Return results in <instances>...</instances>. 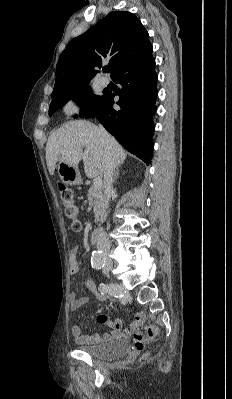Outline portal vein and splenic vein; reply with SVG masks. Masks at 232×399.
<instances>
[{
    "instance_id": "obj_1",
    "label": "portal vein and splenic vein",
    "mask_w": 232,
    "mask_h": 399,
    "mask_svg": "<svg viewBox=\"0 0 232 399\" xmlns=\"http://www.w3.org/2000/svg\"><path fill=\"white\" fill-rule=\"evenodd\" d=\"M93 186H94V188H96V190H100V188L102 186V178H100V176H98V178H94Z\"/></svg>"
}]
</instances>
